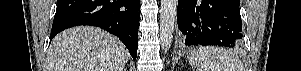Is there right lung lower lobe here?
I'll list each match as a JSON object with an SVG mask.
<instances>
[{"mask_svg":"<svg viewBox=\"0 0 301 71\" xmlns=\"http://www.w3.org/2000/svg\"><path fill=\"white\" fill-rule=\"evenodd\" d=\"M140 0H58L50 40L78 25L100 27L116 35L136 59Z\"/></svg>","mask_w":301,"mask_h":71,"instance_id":"98d812e1","label":"right lung lower lobe"}]
</instances>
